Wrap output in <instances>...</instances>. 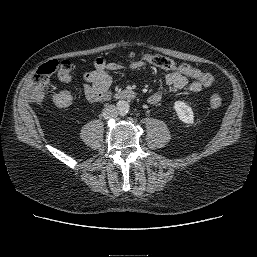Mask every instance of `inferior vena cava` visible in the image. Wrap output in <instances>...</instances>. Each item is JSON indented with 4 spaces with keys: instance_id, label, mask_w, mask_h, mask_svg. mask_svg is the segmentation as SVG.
Wrapping results in <instances>:
<instances>
[{
    "instance_id": "602c4592",
    "label": "inferior vena cava",
    "mask_w": 257,
    "mask_h": 257,
    "mask_svg": "<svg viewBox=\"0 0 257 257\" xmlns=\"http://www.w3.org/2000/svg\"><path fill=\"white\" fill-rule=\"evenodd\" d=\"M102 115L105 119H115L118 116V110L115 105H108L103 109Z\"/></svg>"
}]
</instances>
